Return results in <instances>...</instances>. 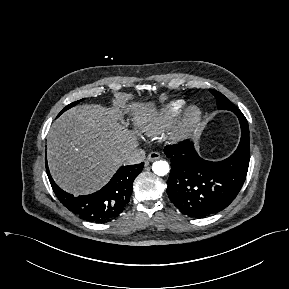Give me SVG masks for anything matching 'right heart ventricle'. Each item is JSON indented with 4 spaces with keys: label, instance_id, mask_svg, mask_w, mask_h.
<instances>
[{
    "label": "right heart ventricle",
    "instance_id": "right-heart-ventricle-1",
    "mask_svg": "<svg viewBox=\"0 0 289 289\" xmlns=\"http://www.w3.org/2000/svg\"><path fill=\"white\" fill-rule=\"evenodd\" d=\"M184 107V101L173 100L167 103L154 117L151 123L145 127V131L150 134H158L170 127Z\"/></svg>",
    "mask_w": 289,
    "mask_h": 289
}]
</instances>
